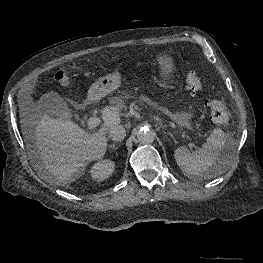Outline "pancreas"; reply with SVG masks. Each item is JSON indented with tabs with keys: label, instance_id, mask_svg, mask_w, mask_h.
<instances>
[{
	"label": "pancreas",
	"instance_id": "1",
	"mask_svg": "<svg viewBox=\"0 0 263 263\" xmlns=\"http://www.w3.org/2000/svg\"><path fill=\"white\" fill-rule=\"evenodd\" d=\"M122 97L123 98H134V99H137L141 103L148 104L152 109L156 108V104L153 103L149 98H147L145 96L136 97V96H131L128 92H123V96Z\"/></svg>",
	"mask_w": 263,
	"mask_h": 263
}]
</instances>
